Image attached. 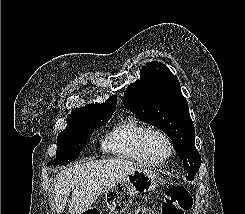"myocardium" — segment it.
Masks as SVG:
<instances>
[{
    "instance_id": "f54148a6",
    "label": "myocardium",
    "mask_w": 245,
    "mask_h": 214,
    "mask_svg": "<svg viewBox=\"0 0 245 214\" xmlns=\"http://www.w3.org/2000/svg\"><path fill=\"white\" fill-rule=\"evenodd\" d=\"M152 135H159L161 136L167 143L168 146V154L165 158L161 159V160H153L149 157L148 152H147V142L148 139L152 136ZM140 150L141 153L143 155V157L145 158V160L147 161V163L149 165H161L165 162H167L174 151V147H173V143L172 140L170 139V137L162 130H158V129H148L142 136L140 139Z\"/></svg>"
}]
</instances>
